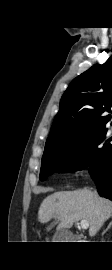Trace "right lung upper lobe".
I'll return each mask as SVG.
<instances>
[{
	"instance_id": "1",
	"label": "right lung upper lobe",
	"mask_w": 112,
	"mask_h": 270,
	"mask_svg": "<svg viewBox=\"0 0 112 270\" xmlns=\"http://www.w3.org/2000/svg\"><path fill=\"white\" fill-rule=\"evenodd\" d=\"M112 109V55L103 65H96L72 80L60 101L45 146L75 140L105 127Z\"/></svg>"
}]
</instances>
